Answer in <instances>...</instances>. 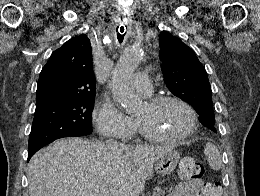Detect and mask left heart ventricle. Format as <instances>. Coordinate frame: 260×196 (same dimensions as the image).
<instances>
[{
	"label": "left heart ventricle",
	"instance_id": "left-heart-ventricle-1",
	"mask_svg": "<svg viewBox=\"0 0 260 196\" xmlns=\"http://www.w3.org/2000/svg\"><path fill=\"white\" fill-rule=\"evenodd\" d=\"M151 132L163 135H180L191 124L188 110L175 102L165 103L156 108H149L146 102L134 115ZM92 192H111L113 190H91Z\"/></svg>",
	"mask_w": 260,
	"mask_h": 196
}]
</instances>
